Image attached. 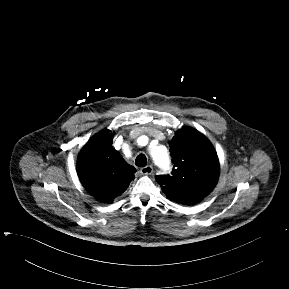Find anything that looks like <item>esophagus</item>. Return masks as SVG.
Returning <instances> with one entry per match:
<instances>
[{
    "label": "esophagus",
    "instance_id": "1",
    "mask_svg": "<svg viewBox=\"0 0 289 289\" xmlns=\"http://www.w3.org/2000/svg\"><path fill=\"white\" fill-rule=\"evenodd\" d=\"M152 172H153V167L150 166V165L145 166V167H142V168L140 169V173H141L142 175H150V174H152Z\"/></svg>",
    "mask_w": 289,
    "mask_h": 289
}]
</instances>
